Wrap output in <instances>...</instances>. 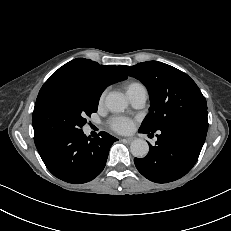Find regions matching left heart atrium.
<instances>
[{
    "label": "left heart atrium",
    "instance_id": "1",
    "mask_svg": "<svg viewBox=\"0 0 231 231\" xmlns=\"http://www.w3.org/2000/svg\"><path fill=\"white\" fill-rule=\"evenodd\" d=\"M109 127L118 133H127L132 130L134 122L125 116H116L109 120Z\"/></svg>",
    "mask_w": 231,
    "mask_h": 231
}]
</instances>
